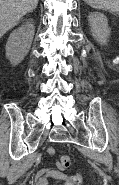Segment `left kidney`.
Returning <instances> with one entry per match:
<instances>
[{"mask_svg": "<svg viewBox=\"0 0 119 185\" xmlns=\"http://www.w3.org/2000/svg\"><path fill=\"white\" fill-rule=\"evenodd\" d=\"M88 22L94 39L101 45H106L110 35L106 16L102 13L92 12L88 15Z\"/></svg>", "mask_w": 119, "mask_h": 185, "instance_id": "5707ae66", "label": "left kidney"}]
</instances>
